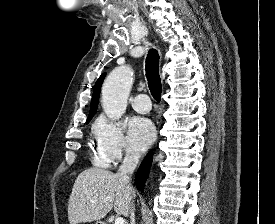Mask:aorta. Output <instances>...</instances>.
<instances>
[{"label": "aorta", "mask_w": 275, "mask_h": 224, "mask_svg": "<svg viewBox=\"0 0 275 224\" xmlns=\"http://www.w3.org/2000/svg\"><path fill=\"white\" fill-rule=\"evenodd\" d=\"M133 70L129 66L115 68L102 86V107L107 117L119 120L126 111L131 91Z\"/></svg>", "instance_id": "762f6f07"}]
</instances>
